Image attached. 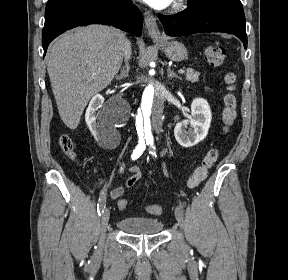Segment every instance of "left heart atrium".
I'll return each mask as SVG.
<instances>
[{"instance_id": "39dd6f15", "label": "left heart atrium", "mask_w": 288, "mask_h": 280, "mask_svg": "<svg viewBox=\"0 0 288 280\" xmlns=\"http://www.w3.org/2000/svg\"><path fill=\"white\" fill-rule=\"evenodd\" d=\"M156 9H164L170 5L173 0H142Z\"/></svg>"}]
</instances>
